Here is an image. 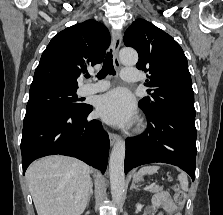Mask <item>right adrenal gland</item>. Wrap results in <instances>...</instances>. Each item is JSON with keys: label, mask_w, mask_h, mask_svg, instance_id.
<instances>
[{"label": "right adrenal gland", "mask_w": 223, "mask_h": 215, "mask_svg": "<svg viewBox=\"0 0 223 215\" xmlns=\"http://www.w3.org/2000/svg\"><path fill=\"white\" fill-rule=\"evenodd\" d=\"M93 185H94L93 181H90V187H89V193H88V199H87L86 205H89L90 197L93 193Z\"/></svg>", "instance_id": "1"}]
</instances>
